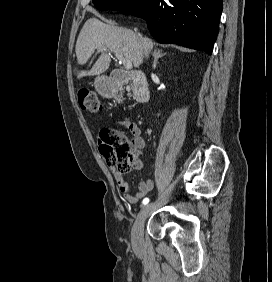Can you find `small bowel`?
Wrapping results in <instances>:
<instances>
[{"label": "small bowel", "mask_w": 272, "mask_h": 282, "mask_svg": "<svg viewBox=\"0 0 272 282\" xmlns=\"http://www.w3.org/2000/svg\"><path fill=\"white\" fill-rule=\"evenodd\" d=\"M119 125L126 127L133 134L132 147L135 154H138L145 147V139L138 128V126L129 121L120 122ZM143 167L142 161L138 156L132 162V168L134 170L140 171ZM116 184L123 194L124 198L130 203H138L146 194H148L154 187V182L150 179L142 180L138 185V191L136 193L132 192V188L126 181L124 175L118 172L115 168L110 167Z\"/></svg>", "instance_id": "obj_1"}]
</instances>
